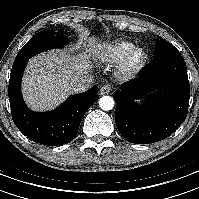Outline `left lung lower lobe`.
<instances>
[{
	"mask_svg": "<svg viewBox=\"0 0 199 199\" xmlns=\"http://www.w3.org/2000/svg\"><path fill=\"white\" fill-rule=\"evenodd\" d=\"M154 91L145 107L134 102ZM189 97L187 68L179 53L155 57L142 69L139 78L124 83L113 94L117 129L134 144L163 140L186 119Z\"/></svg>",
	"mask_w": 199,
	"mask_h": 199,
	"instance_id": "1",
	"label": "left lung lower lobe"
}]
</instances>
